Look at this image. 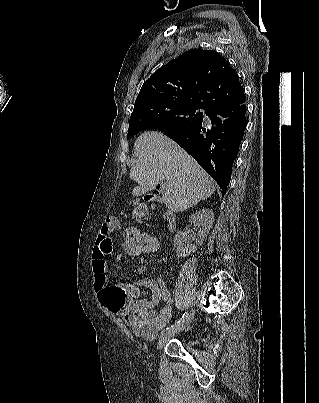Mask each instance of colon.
Listing matches in <instances>:
<instances>
[{"label":"colon","instance_id":"1","mask_svg":"<svg viewBox=\"0 0 319 403\" xmlns=\"http://www.w3.org/2000/svg\"><path fill=\"white\" fill-rule=\"evenodd\" d=\"M149 208L156 210L158 203L151 201ZM123 239L128 260H137L139 254H142V258H159L160 240H157L156 234H148L145 226H130Z\"/></svg>","mask_w":319,"mask_h":403}]
</instances>
